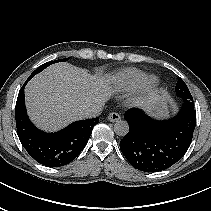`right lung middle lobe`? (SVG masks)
<instances>
[{
    "label": "right lung middle lobe",
    "instance_id": "right-lung-middle-lobe-1",
    "mask_svg": "<svg viewBox=\"0 0 211 211\" xmlns=\"http://www.w3.org/2000/svg\"><path fill=\"white\" fill-rule=\"evenodd\" d=\"M69 58H65V59H60V60H55V61H51V62H47L43 65H41L40 67H38L30 76L29 78L31 79L34 75H36L37 73L41 72L43 69H45L46 67H48L49 65L53 64V63H57V62H64L67 61Z\"/></svg>",
    "mask_w": 211,
    "mask_h": 211
}]
</instances>
